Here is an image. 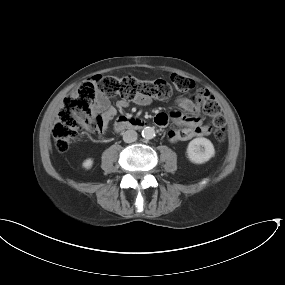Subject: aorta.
<instances>
[{"label":"aorta","mask_w":285,"mask_h":285,"mask_svg":"<svg viewBox=\"0 0 285 285\" xmlns=\"http://www.w3.org/2000/svg\"><path fill=\"white\" fill-rule=\"evenodd\" d=\"M142 137L145 139H152L155 137V130L153 127H144L142 130Z\"/></svg>","instance_id":"1"}]
</instances>
